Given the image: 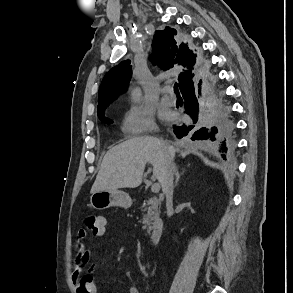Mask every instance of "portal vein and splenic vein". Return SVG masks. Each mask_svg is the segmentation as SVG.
Instances as JSON below:
<instances>
[{
    "mask_svg": "<svg viewBox=\"0 0 293 293\" xmlns=\"http://www.w3.org/2000/svg\"><path fill=\"white\" fill-rule=\"evenodd\" d=\"M159 190H160V184H159V183H154V184L152 185V187H151V191H152L153 193H157V192H159Z\"/></svg>",
    "mask_w": 293,
    "mask_h": 293,
    "instance_id": "18ae733b",
    "label": "portal vein and splenic vein"
}]
</instances>
